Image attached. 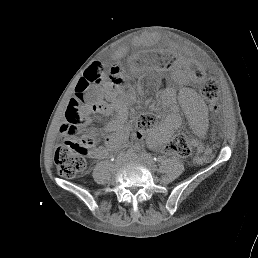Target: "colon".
<instances>
[{"label":"colon","instance_id":"5ec220e1","mask_svg":"<svg viewBox=\"0 0 258 258\" xmlns=\"http://www.w3.org/2000/svg\"><path fill=\"white\" fill-rule=\"evenodd\" d=\"M103 73L104 68L101 64H92L79 81L76 96L67 107L66 123L60 128L62 141L54 153V161L62 177L73 178L82 172L86 166V156L100 143L99 133L86 126L81 108L85 91L98 83ZM112 77L116 78L113 75ZM200 91L211 109L216 110L219 100V86L216 79L205 77L201 82ZM155 124L156 118L152 114H142L136 119V131L144 135L151 131ZM111 136L113 138L117 134H111ZM166 152L179 157L189 156L191 153L190 142L184 135L174 136L168 141Z\"/></svg>","mask_w":258,"mask_h":258}]
</instances>
